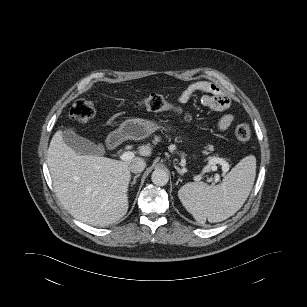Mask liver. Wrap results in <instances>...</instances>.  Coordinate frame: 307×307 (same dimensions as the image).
I'll use <instances>...</instances> for the list:
<instances>
[{"label":"liver","mask_w":307,"mask_h":307,"mask_svg":"<svg viewBox=\"0 0 307 307\" xmlns=\"http://www.w3.org/2000/svg\"><path fill=\"white\" fill-rule=\"evenodd\" d=\"M141 156L151 148L140 146ZM139 158L119 161L75 152L57 131L47 151V165L56 196L77 220L104 227L121 219L128 210L129 165Z\"/></svg>","instance_id":"6515ba94"}]
</instances>
